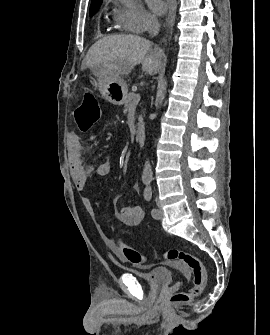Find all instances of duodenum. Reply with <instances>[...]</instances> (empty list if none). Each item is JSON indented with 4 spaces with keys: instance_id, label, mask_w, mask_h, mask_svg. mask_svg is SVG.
Listing matches in <instances>:
<instances>
[{
    "instance_id": "410a0bca",
    "label": "duodenum",
    "mask_w": 270,
    "mask_h": 335,
    "mask_svg": "<svg viewBox=\"0 0 270 335\" xmlns=\"http://www.w3.org/2000/svg\"><path fill=\"white\" fill-rule=\"evenodd\" d=\"M136 141L140 146H143L146 141V134L143 129H139L136 133Z\"/></svg>"
}]
</instances>
